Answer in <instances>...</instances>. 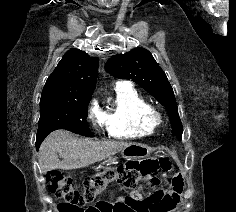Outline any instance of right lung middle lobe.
I'll list each match as a JSON object with an SVG mask.
<instances>
[{
	"instance_id": "obj_1",
	"label": "right lung middle lobe",
	"mask_w": 236,
	"mask_h": 212,
	"mask_svg": "<svg viewBox=\"0 0 236 212\" xmlns=\"http://www.w3.org/2000/svg\"><path fill=\"white\" fill-rule=\"evenodd\" d=\"M90 99L91 97L40 100L36 148L38 149L44 138L56 129H67L86 137H94L86 120Z\"/></svg>"
}]
</instances>
